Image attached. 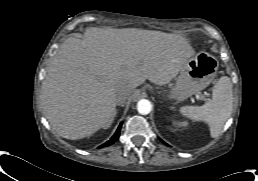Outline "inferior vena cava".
I'll return each instance as SVG.
<instances>
[{
    "mask_svg": "<svg viewBox=\"0 0 258 181\" xmlns=\"http://www.w3.org/2000/svg\"><path fill=\"white\" fill-rule=\"evenodd\" d=\"M127 96H128V93H123V94L119 95L118 98H117L118 104L124 103Z\"/></svg>",
    "mask_w": 258,
    "mask_h": 181,
    "instance_id": "602c4592",
    "label": "inferior vena cava"
}]
</instances>
